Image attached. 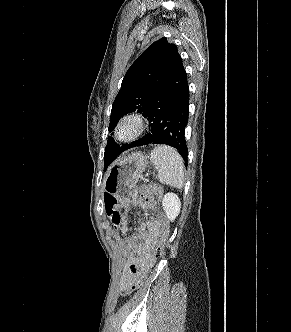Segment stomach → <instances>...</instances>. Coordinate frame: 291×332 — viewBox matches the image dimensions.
Wrapping results in <instances>:
<instances>
[{
	"label": "stomach",
	"mask_w": 291,
	"mask_h": 332,
	"mask_svg": "<svg viewBox=\"0 0 291 332\" xmlns=\"http://www.w3.org/2000/svg\"><path fill=\"white\" fill-rule=\"evenodd\" d=\"M148 165V157L136 152L119 159L106 173L104 187L121 203H132L136 197V183Z\"/></svg>",
	"instance_id": "1"
}]
</instances>
